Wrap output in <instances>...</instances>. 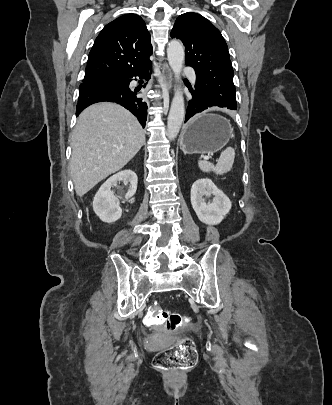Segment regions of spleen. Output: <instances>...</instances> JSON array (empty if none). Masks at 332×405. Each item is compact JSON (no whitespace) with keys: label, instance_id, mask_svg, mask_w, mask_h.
I'll return each instance as SVG.
<instances>
[{"label":"spleen","instance_id":"3e777b00","mask_svg":"<svg viewBox=\"0 0 332 405\" xmlns=\"http://www.w3.org/2000/svg\"><path fill=\"white\" fill-rule=\"evenodd\" d=\"M234 158L235 150L232 147H227L224 151H222L216 166L204 160H199L198 166L203 172L208 173L213 171L217 175H223L232 169Z\"/></svg>","mask_w":332,"mask_h":405}]
</instances>
